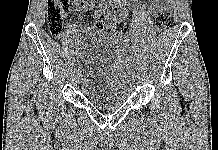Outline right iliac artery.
Instances as JSON below:
<instances>
[{"label": "right iliac artery", "instance_id": "obj_1", "mask_svg": "<svg viewBox=\"0 0 218 150\" xmlns=\"http://www.w3.org/2000/svg\"><path fill=\"white\" fill-rule=\"evenodd\" d=\"M81 56H82L81 53H79L77 58H81ZM78 60H79V59H78ZM78 60H77V61H78ZM79 61H80V60H79Z\"/></svg>", "mask_w": 218, "mask_h": 150}]
</instances>
